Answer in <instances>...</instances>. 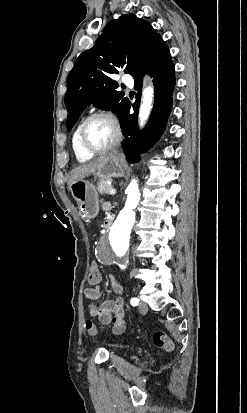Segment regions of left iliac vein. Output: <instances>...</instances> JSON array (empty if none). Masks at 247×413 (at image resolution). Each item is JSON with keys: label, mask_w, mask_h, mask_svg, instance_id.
<instances>
[{"label": "left iliac vein", "mask_w": 247, "mask_h": 413, "mask_svg": "<svg viewBox=\"0 0 247 413\" xmlns=\"http://www.w3.org/2000/svg\"><path fill=\"white\" fill-rule=\"evenodd\" d=\"M139 312L140 313H145L148 310L147 304L144 301H140L139 306H138Z\"/></svg>", "instance_id": "obj_1"}]
</instances>
